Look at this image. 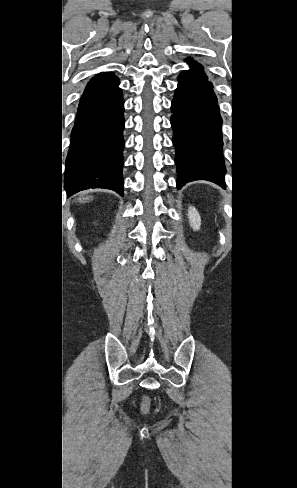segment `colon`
Wrapping results in <instances>:
<instances>
[{
    "mask_svg": "<svg viewBox=\"0 0 297 488\" xmlns=\"http://www.w3.org/2000/svg\"><path fill=\"white\" fill-rule=\"evenodd\" d=\"M150 408V399L148 397H143L141 401V410L143 413H147Z\"/></svg>",
    "mask_w": 297,
    "mask_h": 488,
    "instance_id": "colon-1",
    "label": "colon"
}]
</instances>
